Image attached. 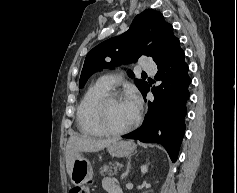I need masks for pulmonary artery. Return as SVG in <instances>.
<instances>
[{
    "instance_id": "pulmonary-artery-1",
    "label": "pulmonary artery",
    "mask_w": 237,
    "mask_h": 193,
    "mask_svg": "<svg viewBox=\"0 0 237 193\" xmlns=\"http://www.w3.org/2000/svg\"><path fill=\"white\" fill-rule=\"evenodd\" d=\"M142 69L148 73H155L157 71V66L156 64L150 59L146 58L141 62ZM99 83L102 84L103 86L113 89L117 83L118 79L114 77L113 75H104L99 79Z\"/></svg>"
}]
</instances>
